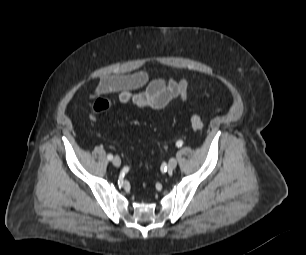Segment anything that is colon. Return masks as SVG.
<instances>
[{
	"label": "colon",
	"instance_id": "obj_1",
	"mask_svg": "<svg viewBox=\"0 0 306 255\" xmlns=\"http://www.w3.org/2000/svg\"><path fill=\"white\" fill-rule=\"evenodd\" d=\"M114 102L110 98H98L91 107L92 116L96 118L98 115L109 110L113 106ZM190 123L194 130L200 131L204 127L203 119L198 114H192L190 116Z\"/></svg>",
	"mask_w": 306,
	"mask_h": 255
}]
</instances>
